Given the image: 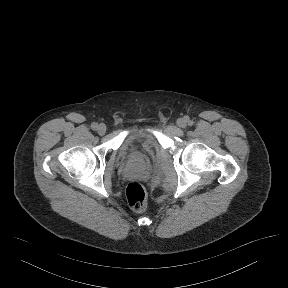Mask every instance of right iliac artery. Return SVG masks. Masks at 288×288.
Returning a JSON list of instances; mask_svg holds the SVG:
<instances>
[{
    "label": "right iliac artery",
    "mask_w": 288,
    "mask_h": 288,
    "mask_svg": "<svg viewBox=\"0 0 288 288\" xmlns=\"http://www.w3.org/2000/svg\"><path fill=\"white\" fill-rule=\"evenodd\" d=\"M91 128L93 129V130H97V128H98V124L97 123H92L91 124Z\"/></svg>",
    "instance_id": "right-iliac-artery-1"
}]
</instances>
